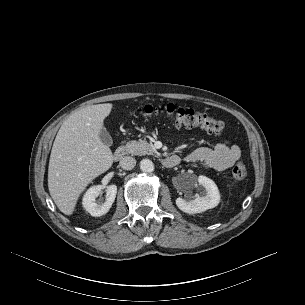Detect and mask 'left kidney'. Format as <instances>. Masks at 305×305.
I'll return each instance as SVG.
<instances>
[{
	"label": "left kidney",
	"instance_id": "5707ae66",
	"mask_svg": "<svg viewBox=\"0 0 305 305\" xmlns=\"http://www.w3.org/2000/svg\"><path fill=\"white\" fill-rule=\"evenodd\" d=\"M197 180L206 189L205 196H197L191 201L176 199L177 207L188 214L202 213L216 207L220 202V193L213 180L203 175H200Z\"/></svg>",
	"mask_w": 305,
	"mask_h": 305
}]
</instances>
